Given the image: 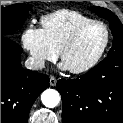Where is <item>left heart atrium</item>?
Returning a JSON list of instances; mask_svg holds the SVG:
<instances>
[{"label":"left heart atrium","instance_id":"left-heart-atrium-1","mask_svg":"<svg viewBox=\"0 0 123 123\" xmlns=\"http://www.w3.org/2000/svg\"><path fill=\"white\" fill-rule=\"evenodd\" d=\"M61 68L67 69V66H66L64 63H62V64H61Z\"/></svg>","mask_w":123,"mask_h":123}]
</instances>
